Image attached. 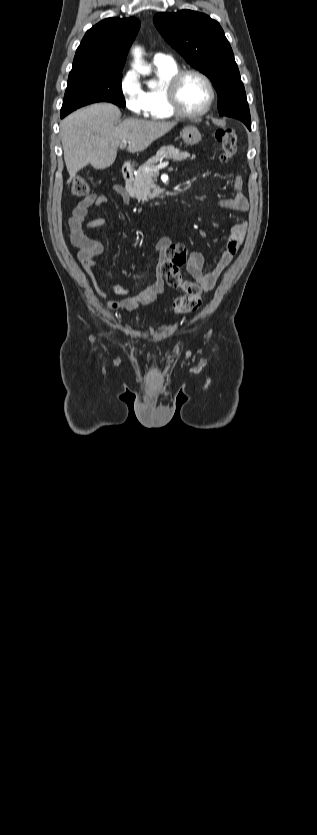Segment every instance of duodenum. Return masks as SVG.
<instances>
[{
  "instance_id": "obj_1",
  "label": "duodenum",
  "mask_w": 317,
  "mask_h": 835,
  "mask_svg": "<svg viewBox=\"0 0 317 835\" xmlns=\"http://www.w3.org/2000/svg\"><path fill=\"white\" fill-rule=\"evenodd\" d=\"M133 165L131 163H125L122 167V176L125 180H129L133 175ZM149 208H154L153 205H150Z\"/></svg>"
}]
</instances>
